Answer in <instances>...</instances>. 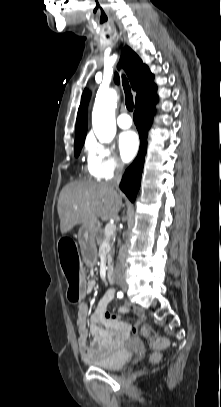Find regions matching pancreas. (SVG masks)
Masks as SVG:
<instances>
[{
  "label": "pancreas",
  "instance_id": "pancreas-1",
  "mask_svg": "<svg viewBox=\"0 0 221 407\" xmlns=\"http://www.w3.org/2000/svg\"><path fill=\"white\" fill-rule=\"evenodd\" d=\"M104 240H105V231H102L100 237H99L98 240H97V243H98L99 245H101Z\"/></svg>",
  "mask_w": 221,
  "mask_h": 407
}]
</instances>
